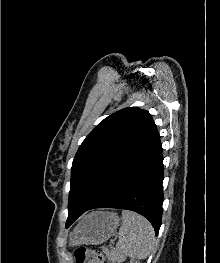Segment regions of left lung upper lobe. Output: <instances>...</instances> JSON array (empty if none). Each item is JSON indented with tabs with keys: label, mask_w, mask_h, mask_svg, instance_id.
Instances as JSON below:
<instances>
[{
	"label": "left lung upper lobe",
	"mask_w": 220,
	"mask_h": 263,
	"mask_svg": "<svg viewBox=\"0 0 220 263\" xmlns=\"http://www.w3.org/2000/svg\"><path fill=\"white\" fill-rule=\"evenodd\" d=\"M159 135L148 111L122 109L94 128L71 168L68 211L88 208Z\"/></svg>",
	"instance_id": "1"
}]
</instances>
